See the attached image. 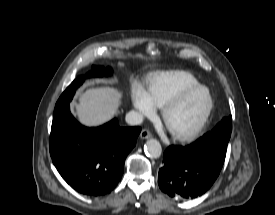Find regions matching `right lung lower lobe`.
<instances>
[{
  "mask_svg": "<svg viewBox=\"0 0 275 215\" xmlns=\"http://www.w3.org/2000/svg\"><path fill=\"white\" fill-rule=\"evenodd\" d=\"M140 131V127H119L117 119L96 128L84 127L66 103L54 110L50 155L72 188L86 195H104L121 179Z\"/></svg>",
  "mask_w": 275,
  "mask_h": 215,
  "instance_id": "obj_1",
  "label": "right lung lower lobe"
}]
</instances>
